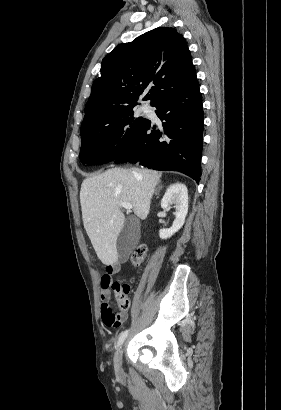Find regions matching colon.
I'll use <instances>...</instances> for the list:
<instances>
[{
  "label": "colon",
  "instance_id": "1",
  "mask_svg": "<svg viewBox=\"0 0 281 410\" xmlns=\"http://www.w3.org/2000/svg\"><path fill=\"white\" fill-rule=\"evenodd\" d=\"M147 255V246L145 244H140L136 247L131 255V263L134 266H139L144 261ZM112 289L115 295V299L117 301L118 307L120 310L125 311L129 308L130 301L128 298V294L130 292V286L121 281H115L112 284ZM103 321L108 326H118L121 323V314L116 313L110 307L107 308L103 315Z\"/></svg>",
  "mask_w": 281,
  "mask_h": 410
}]
</instances>
